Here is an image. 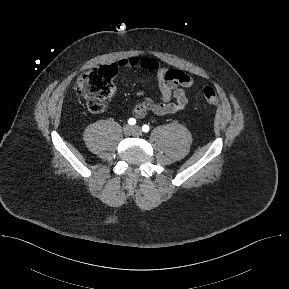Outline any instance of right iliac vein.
I'll use <instances>...</instances> for the list:
<instances>
[{
    "instance_id": "1",
    "label": "right iliac vein",
    "mask_w": 289,
    "mask_h": 289,
    "mask_svg": "<svg viewBox=\"0 0 289 289\" xmlns=\"http://www.w3.org/2000/svg\"><path fill=\"white\" fill-rule=\"evenodd\" d=\"M123 132H124V134L125 135H131V134H133V127H131L130 125H125L124 127H123Z\"/></svg>"
}]
</instances>
